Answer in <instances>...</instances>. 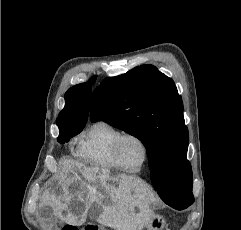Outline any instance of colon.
I'll return each instance as SVG.
<instances>
[{"label": "colon", "instance_id": "5ec220e1", "mask_svg": "<svg viewBox=\"0 0 241 230\" xmlns=\"http://www.w3.org/2000/svg\"><path fill=\"white\" fill-rule=\"evenodd\" d=\"M62 230H78V229L73 226H65L62 228Z\"/></svg>", "mask_w": 241, "mask_h": 230}]
</instances>
